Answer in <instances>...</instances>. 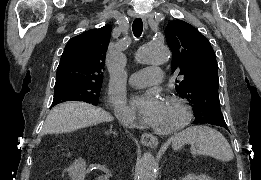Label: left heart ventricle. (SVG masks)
Wrapping results in <instances>:
<instances>
[{
	"instance_id": "1",
	"label": "left heart ventricle",
	"mask_w": 261,
	"mask_h": 180,
	"mask_svg": "<svg viewBox=\"0 0 261 180\" xmlns=\"http://www.w3.org/2000/svg\"><path fill=\"white\" fill-rule=\"evenodd\" d=\"M180 112V107L177 104L168 99H164L161 108L149 125L157 130H169L176 124Z\"/></svg>"
}]
</instances>
